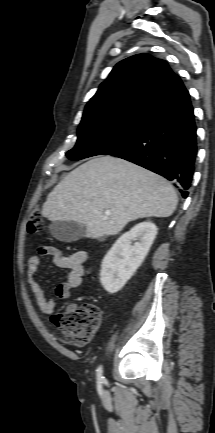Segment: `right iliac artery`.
<instances>
[{"instance_id":"1","label":"right iliac artery","mask_w":215,"mask_h":433,"mask_svg":"<svg viewBox=\"0 0 215 433\" xmlns=\"http://www.w3.org/2000/svg\"><path fill=\"white\" fill-rule=\"evenodd\" d=\"M102 373H103V368H102V366H100L97 369V381L100 383L104 381V377H103Z\"/></svg>"}]
</instances>
